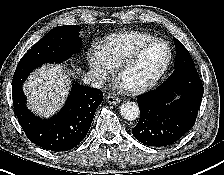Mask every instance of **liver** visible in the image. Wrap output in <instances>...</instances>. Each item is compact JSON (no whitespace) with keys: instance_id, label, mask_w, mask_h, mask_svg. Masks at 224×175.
<instances>
[{"instance_id":"liver-1","label":"liver","mask_w":224,"mask_h":175,"mask_svg":"<svg viewBox=\"0 0 224 175\" xmlns=\"http://www.w3.org/2000/svg\"><path fill=\"white\" fill-rule=\"evenodd\" d=\"M68 85L60 65L37 69L23 85L28 107L39 116H52L63 106Z\"/></svg>"}]
</instances>
